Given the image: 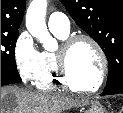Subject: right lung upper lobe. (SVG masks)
Wrapping results in <instances>:
<instances>
[{"instance_id": "cb5924a9", "label": "right lung upper lobe", "mask_w": 123, "mask_h": 113, "mask_svg": "<svg viewBox=\"0 0 123 113\" xmlns=\"http://www.w3.org/2000/svg\"><path fill=\"white\" fill-rule=\"evenodd\" d=\"M25 0H1V34L19 32Z\"/></svg>"}]
</instances>
